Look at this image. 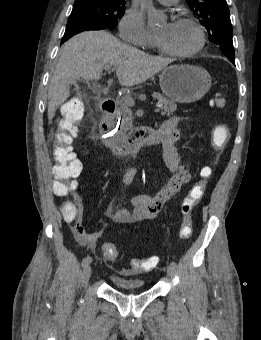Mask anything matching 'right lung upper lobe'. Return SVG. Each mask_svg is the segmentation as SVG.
<instances>
[{"label":"right lung upper lobe","instance_id":"obj_1","mask_svg":"<svg viewBox=\"0 0 261 340\" xmlns=\"http://www.w3.org/2000/svg\"><path fill=\"white\" fill-rule=\"evenodd\" d=\"M84 1L125 2V0H75V3H77V2H84Z\"/></svg>","mask_w":261,"mask_h":340}]
</instances>
